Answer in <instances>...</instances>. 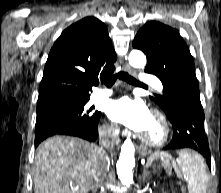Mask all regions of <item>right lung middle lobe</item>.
I'll use <instances>...</instances> for the list:
<instances>
[{"label":"right lung middle lobe","mask_w":221,"mask_h":193,"mask_svg":"<svg viewBox=\"0 0 221 193\" xmlns=\"http://www.w3.org/2000/svg\"><path fill=\"white\" fill-rule=\"evenodd\" d=\"M85 100H55L37 104L35 138L53 135L69 128L94 129L101 113L88 108Z\"/></svg>","instance_id":"obj_1"}]
</instances>
